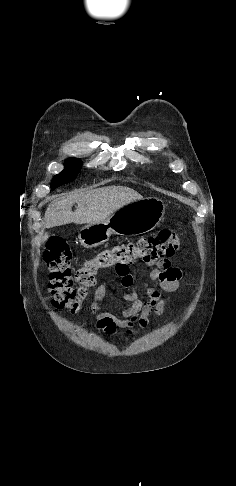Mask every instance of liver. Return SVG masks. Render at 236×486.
<instances>
[{
  "label": "liver",
  "mask_w": 236,
  "mask_h": 486,
  "mask_svg": "<svg viewBox=\"0 0 236 486\" xmlns=\"http://www.w3.org/2000/svg\"><path fill=\"white\" fill-rule=\"evenodd\" d=\"M138 199H142V195L123 186H108L67 194L56 198L48 205L44 217L45 227L103 222L124 205ZM75 203L78 206L73 212L72 206Z\"/></svg>",
  "instance_id": "obj_1"
}]
</instances>
